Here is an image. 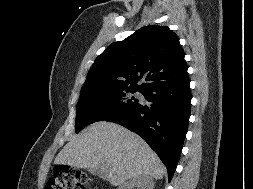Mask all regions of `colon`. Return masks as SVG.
I'll list each match as a JSON object with an SVG mask.
<instances>
[{"instance_id": "obj_1", "label": "colon", "mask_w": 253, "mask_h": 189, "mask_svg": "<svg viewBox=\"0 0 253 189\" xmlns=\"http://www.w3.org/2000/svg\"><path fill=\"white\" fill-rule=\"evenodd\" d=\"M87 175L68 166H58L45 189H86Z\"/></svg>"}]
</instances>
